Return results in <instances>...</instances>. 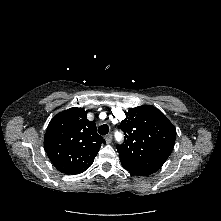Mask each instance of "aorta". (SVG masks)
<instances>
[{
	"label": "aorta",
	"mask_w": 221,
	"mask_h": 221,
	"mask_svg": "<svg viewBox=\"0 0 221 221\" xmlns=\"http://www.w3.org/2000/svg\"><path fill=\"white\" fill-rule=\"evenodd\" d=\"M116 139L118 140V141H121V139H122V135L120 134V133H116Z\"/></svg>",
	"instance_id": "obj_1"
}]
</instances>
